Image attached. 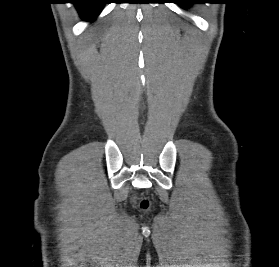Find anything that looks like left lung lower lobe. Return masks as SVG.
Listing matches in <instances>:
<instances>
[{"mask_svg": "<svg viewBox=\"0 0 279 267\" xmlns=\"http://www.w3.org/2000/svg\"><path fill=\"white\" fill-rule=\"evenodd\" d=\"M178 4L181 5H189V4H193V3H198V1L196 0H177Z\"/></svg>", "mask_w": 279, "mask_h": 267, "instance_id": "1", "label": "left lung lower lobe"}]
</instances>
